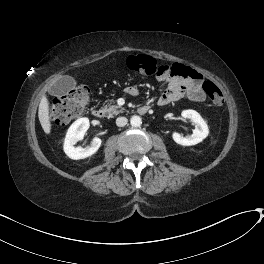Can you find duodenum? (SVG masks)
I'll list each match as a JSON object with an SVG mask.
<instances>
[{
    "instance_id": "obj_1",
    "label": "duodenum",
    "mask_w": 264,
    "mask_h": 264,
    "mask_svg": "<svg viewBox=\"0 0 264 264\" xmlns=\"http://www.w3.org/2000/svg\"><path fill=\"white\" fill-rule=\"evenodd\" d=\"M137 94V93H135ZM149 107L147 105H142L137 109V112L139 114H145L147 111H149ZM92 114L96 119H102L105 116V111L101 107H95L92 110Z\"/></svg>"
}]
</instances>
